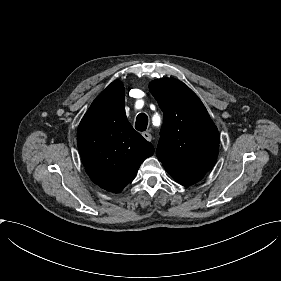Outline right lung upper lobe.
Masks as SVG:
<instances>
[{
	"label": "right lung upper lobe",
	"instance_id": "right-lung-upper-lobe-1",
	"mask_svg": "<svg viewBox=\"0 0 281 281\" xmlns=\"http://www.w3.org/2000/svg\"><path fill=\"white\" fill-rule=\"evenodd\" d=\"M78 149L90 179L119 193L137 174L154 148L128 122L125 89L112 82L91 104L77 132Z\"/></svg>",
	"mask_w": 281,
	"mask_h": 281
}]
</instances>
